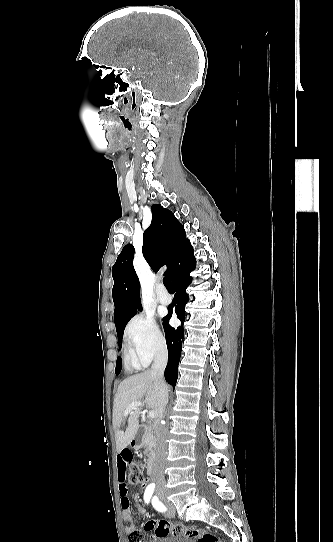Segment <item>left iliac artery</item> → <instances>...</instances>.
Instances as JSON below:
<instances>
[{"instance_id": "1", "label": "left iliac artery", "mask_w": 333, "mask_h": 542, "mask_svg": "<svg viewBox=\"0 0 333 542\" xmlns=\"http://www.w3.org/2000/svg\"><path fill=\"white\" fill-rule=\"evenodd\" d=\"M152 505L157 511H166V507L156 497L153 498Z\"/></svg>"}]
</instances>
